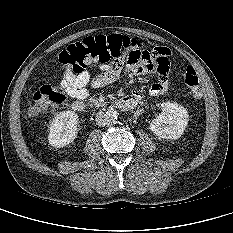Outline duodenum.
Returning <instances> with one entry per match:
<instances>
[{
	"mask_svg": "<svg viewBox=\"0 0 233 233\" xmlns=\"http://www.w3.org/2000/svg\"><path fill=\"white\" fill-rule=\"evenodd\" d=\"M139 100L140 98L135 95H128L118 99L115 104L123 110H131L138 104ZM72 108L74 111L82 113L87 109V106L83 101L77 100L73 103Z\"/></svg>",
	"mask_w": 233,
	"mask_h": 233,
	"instance_id": "410a0bca",
	"label": "duodenum"
}]
</instances>
